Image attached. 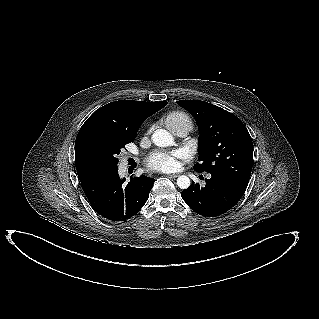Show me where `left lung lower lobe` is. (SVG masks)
I'll return each mask as SVG.
<instances>
[{"mask_svg":"<svg viewBox=\"0 0 319 319\" xmlns=\"http://www.w3.org/2000/svg\"><path fill=\"white\" fill-rule=\"evenodd\" d=\"M205 187L192 183L181 192L186 204L196 213L215 217L231 210L243 196L248 184L222 174H211Z\"/></svg>","mask_w":319,"mask_h":319,"instance_id":"1","label":"left lung lower lobe"}]
</instances>
